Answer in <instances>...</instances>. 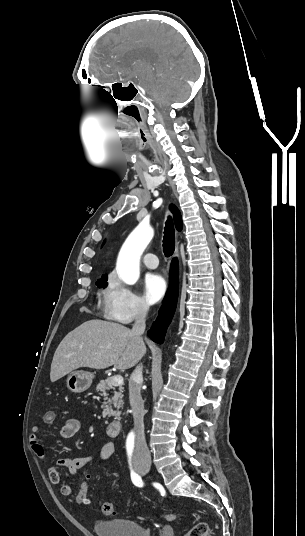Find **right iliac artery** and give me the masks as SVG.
Here are the masks:
<instances>
[{
	"label": "right iliac artery",
	"instance_id": "82829eb1",
	"mask_svg": "<svg viewBox=\"0 0 305 536\" xmlns=\"http://www.w3.org/2000/svg\"><path fill=\"white\" fill-rule=\"evenodd\" d=\"M130 466H131V463H130ZM131 468V480L133 482V484L137 487H142L143 486V481L141 479V477L135 473L133 470H132V467Z\"/></svg>",
	"mask_w": 305,
	"mask_h": 536
}]
</instances>
